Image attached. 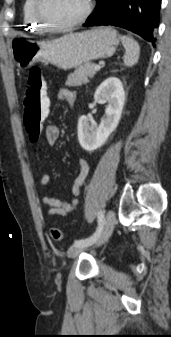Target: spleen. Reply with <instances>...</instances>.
Wrapping results in <instances>:
<instances>
[{
  "mask_svg": "<svg viewBox=\"0 0 171 337\" xmlns=\"http://www.w3.org/2000/svg\"><path fill=\"white\" fill-rule=\"evenodd\" d=\"M122 44L125 48L124 65L132 67L138 62L140 55V46L137 41L129 36H121Z\"/></svg>",
  "mask_w": 171,
  "mask_h": 337,
  "instance_id": "1",
  "label": "spleen"
}]
</instances>
